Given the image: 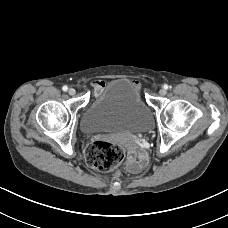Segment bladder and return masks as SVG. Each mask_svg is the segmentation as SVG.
<instances>
[{"instance_id":"obj_1","label":"bladder","mask_w":228,"mask_h":228,"mask_svg":"<svg viewBox=\"0 0 228 228\" xmlns=\"http://www.w3.org/2000/svg\"><path fill=\"white\" fill-rule=\"evenodd\" d=\"M152 113L134 81L119 78L96 93L85 108L80 128L85 134L145 133L152 130Z\"/></svg>"}]
</instances>
